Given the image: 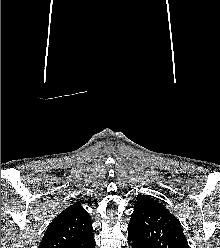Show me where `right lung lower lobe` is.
<instances>
[{
    "label": "right lung lower lobe",
    "instance_id": "obj_1",
    "mask_svg": "<svg viewBox=\"0 0 220 248\" xmlns=\"http://www.w3.org/2000/svg\"><path fill=\"white\" fill-rule=\"evenodd\" d=\"M84 248H95V241H93L91 244L85 246Z\"/></svg>",
    "mask_w": 220,
    "mask_h": 248
}]
</instances>
